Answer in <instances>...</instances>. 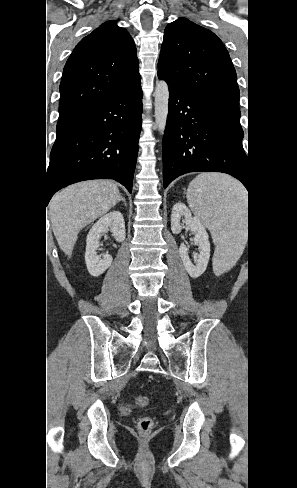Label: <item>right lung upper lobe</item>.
I'll return each mask as SVG.
<instances>
[{
    "mask_svg": "<svg viewBox=\"0 0 297 488\" xmlns=\"http://www.w3.org/2000/svg\"><path fill=\"white\" fill-rule=\"evenodd\" d=\"M133 39L116 21L84 37L67 60L60 84L58 123L110 97L140 78Z\"/></svg>",
    "mask_w": 297,
    "mask_h": 488,
    "instance_id": "right-lung-upper-lobe-1",
    "label": "right lung upper lobe"
}]
</instances>
